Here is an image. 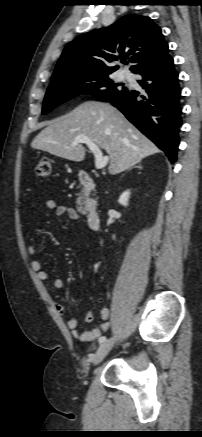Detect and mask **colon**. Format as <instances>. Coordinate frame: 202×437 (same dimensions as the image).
<instances>
[{"label": "colon", "mask_w": 202, "mask_h": 437, "mask_svg": "<svg viewBox=\"0 0 202 437\" xmlns=\"http://www.w3.org/2000/svg\"><path fill=\"white\" fill-rule=\"evenodd\" d=\"M36 174L40 177H48L51 173V163L48 158H42L36 165Z\"/></svg>", "instance_id": "obj_1"}]
</instances>
